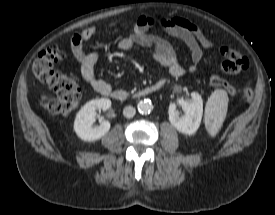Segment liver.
<instances>
[{
  "label": "liver",
  "instance_id": "1",
  "mask_svg": "<svg viewBox=\"0 0 275 215\" xmlns=\"http://www.w3.org/2000/svg\"><path fill=\"white\" fill-rule=\"evenodd\" d=\"M41 100L42 102L45 100H48L47 97L45 95H41ZM43 106L48 109L49 108V102L48 103H44Z\"/></svg>",
  "mask_w": 275,
  "mask_h": 215
}]
</instances>
